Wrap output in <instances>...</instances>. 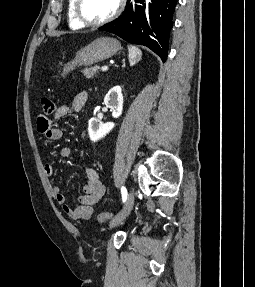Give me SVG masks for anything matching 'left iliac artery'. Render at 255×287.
Segmentation results:
<instances>
[{
  "label": "left iliac artery",
  "instance_id": "44dca946",
  "mask_svg": "<svg viewBox=\"0 0 255 287\" xmlns=\"http://www.w3.org/2000/svg\"><path fill=\"white\" fill-rule=\"evenodd\" d=\"M121 194H122V200L123 202H125L127 199V189L124 186L121 188Z\"/></svg>",
  "mask_w": 255,
  "mask_h": 287
}]
</instances>
